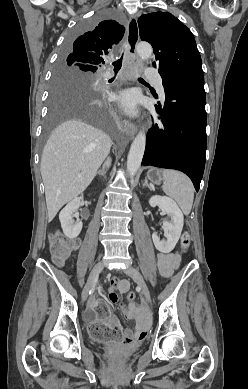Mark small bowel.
Wrapping results in <instances>:
<instances>
[{
    "mask_svg": "<svg viewBox=\"0 0 248 389\" xmlns=\"http://www.w3.org/2000/svg\"><path fill=\"white\" fill-rule=\"evenodd\" d=\"M179 265V257L177 253H160L158 255V269L162 276L170 277L174 270ZM120 273L114 272L111 279V286L109 289V302H119V297L128 291L130 284L126 280H120ZM96 303H92L86 311V318L90 322H94V306ZM125 318L129 321L135 322V330H125L123 334V343L130 346H136L139 342L144 340L149 332V321L146 316V309L143 305L137 304H124L121 303ZM116 318L110 317L109 324L114 325Z\"/></svg>",
    "mask_w": 248,
    "mask_h": 389,
    "instance_id": "c3829d8e",
    "label": "small bowel"
}]
</instances>
